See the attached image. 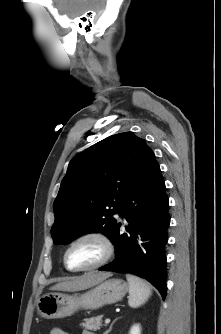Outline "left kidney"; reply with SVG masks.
<instances>
[{
    "label": "left kidney",
    "mask_w": 221,
    "mask_h": 334,
    "mask_svg": "<svg viewBox=\"0 0 221 334\" xmlns=\"http://www.w3.org/2000/svg\"><path fill=\"white\" fill-rule=\"evenodd\" d=\"M129 334H141V328L139 324H135L131 327Z\"/></svg>",
    "instance_id": "obj_1"
}]
</instances>
